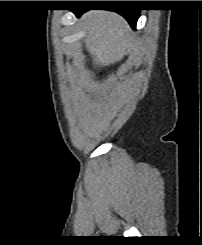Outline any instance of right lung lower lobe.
Returning a JSON list of instances; mask_svg holds the SVG:
<instances>
[{
  "mask_svg": "<svg viewBox=\"0 0 202 245\" xmlns=\"http://www.w3.org/2000/svg\"><path fill=\"white\" fill-rule=\"evenodd\" d=\"M74 11L77 15L83 14L87 10H72ZM110 11H115L118 14L122 15L130 24L132 28H136V22L139 18L140 15V10H135V9H113Z\"/></svg>",
  "mask_w": 202,
  "mask_h": 245,
  "instance_id": "1",
  "label": "right lung lower lobe"
}]
</instances>
